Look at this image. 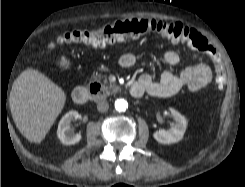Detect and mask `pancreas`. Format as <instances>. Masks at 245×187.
I'll use <instances>...</instances> for the list:
<instances>
[{"label":"pancreas","mask_w":245,"mask_h":187,"mask_svg":"<svg viewBox=\"0 0 245 187\" xmlns=\"http://www.w3.org/2000/svg\"><path fill=\"white\" fill-rule=\"evenodd\" d=\"M92 82H98L100 83L99 75L93 76L92 77ZM102 91L105 94H110V93H116L120 88L117 85H114L112 83L108 84V81L105 80L103 84H101Z\"/></svg>","instance_id":"obj_1"}]
</instances>
